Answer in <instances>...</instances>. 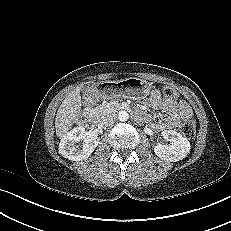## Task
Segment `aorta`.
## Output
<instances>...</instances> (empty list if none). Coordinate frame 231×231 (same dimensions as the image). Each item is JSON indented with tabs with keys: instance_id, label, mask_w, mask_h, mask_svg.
Instances as JSON below:
<instances>
[{
	"instance_id": "762f6f07",
	"label": "aorta",
	"mask_w": 231,
	"mask_h": 231,
	"mask_svg": "<svg viewBox=\"0 0 231 231\" xmlns=\"http://www.w3.org/2000/svg\"><path fill=\"white\" fill-rule=\"evenodd\" d=\"M118 119L120 120V121H127L128 119H129V114H128V112H126V111H120L119 113H118Z\"/></svg>"
}]
</instances>
